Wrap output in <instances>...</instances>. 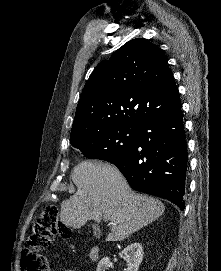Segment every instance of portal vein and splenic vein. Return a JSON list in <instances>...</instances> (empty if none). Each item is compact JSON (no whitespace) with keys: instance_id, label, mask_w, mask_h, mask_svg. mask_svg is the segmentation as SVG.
Segmentation results:
<instances>
[{"instance_id":"1","label":"portal vein and splenic vein","mask_w":221,"mask_h":271,"mask_svg":"<svg viewBox=\"0 0 221 271\" xmlns=\"http://www.w3.org/2000/svg\"><path fill=\"white\" fill-rule=\"evenodd\" d=\"M104 221H107L108 217H103Z\"/></svg>"}]
</instances>
